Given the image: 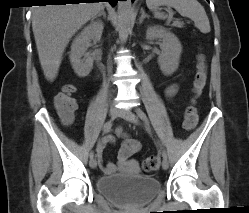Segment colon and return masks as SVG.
I'll return each instance as SVG.
<instances>
[{"label": "colon", "mask_w": 249, "mask_h": 213, "mask_svg": "<svg viewBox=\"0 0 249 213\" xmlns=\"http://www.w3.org/2000/svg\"><path fill=\"white\" fill-rule=\"evenodd\" d=\"M207 79L206 62L203 55L199 57L197 64V71L193 81V98L191 103L186 107L184 112L183 127L186 130L193 129L198 122L197 109L194 106L195 98L201 93L205 86ZM75 88L71 85L64 87L63 92L55 97V107L64 120L72 121L75 111L77 110V103L73 97ZM160 160L157 156H149L144 159L142 168L145 172H152L159 168Z\"/></svg>", "instance_id": "colon-1"}]
</instances>
